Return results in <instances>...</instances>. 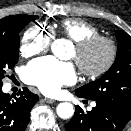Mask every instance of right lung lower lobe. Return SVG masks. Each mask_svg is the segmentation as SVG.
Segmentation results:
<instances>
[{
    "instance_id": "right-lung-lower-lobe-1",
    "label": "right lung lower lobe",
    "mask_w": 131,
    "mask_h": 131,
    "mask_svg": "<svg viewBox=\"0 0 131 131\" xmlns=\"http://www.w3.org/2000/svg\"><path fill=\"white\" fill-rule=\"evenodd\" d=\"M19 95L12 100L9 94L2 92L0 86V131H25L30 111L39 98L27 88H23Z\"/></svg>"
}]
</instances>
